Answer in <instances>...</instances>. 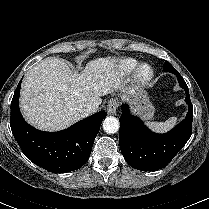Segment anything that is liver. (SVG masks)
I'll use <instances>...</instances> for the list:
<instances>
[{
	"label": "liver",
	"mask_w": 209,
	"mask_h": 209,
	"mask_svg": "<svg viewBox=\"0 0 209 209\" xmlns=\"http://www.w3.org/2000/svg\"><path fill=\"white\" fill-rule=\"evenodd\" d=\"M115 57L88 62L83 73L73 72L61 58L49 57L25 74L20 109L28 123L39 130L58 131L87 117V105L99 106L101 97L124 88Z\"/></svg>",
	"instance_id": "obj_1"
}]
</instances>
